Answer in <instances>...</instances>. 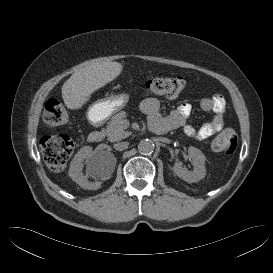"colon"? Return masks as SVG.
Returning <instances> with one entry per match:
<instances>
[{
    "instance_id": "1",
    "label": "colon",
    "mask_w": 273,
    "mask_h": 273,
    "mask_svg": "<svg viewBox=\"0 0 273 273\" xmlns=\"http://www.w3.org/2000/svg\"><path fill=\"white\" fill-rule=\"evenodd\" d=\"M185 81L180 76L155 77L149 79L144 88L156 96L173 98L184 89ZM69 114L64 104L58 99H49L44 109V120L49 126H61L68 122ZM237 147L235 133L226 129L212 142V149L224 155H231ZM40 150L47 166L52 171H61L70 159L74 142L68 136H47L40 141Z\"/></svg>"
}]
</instances>
